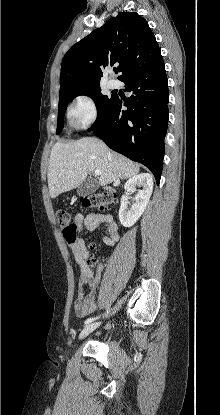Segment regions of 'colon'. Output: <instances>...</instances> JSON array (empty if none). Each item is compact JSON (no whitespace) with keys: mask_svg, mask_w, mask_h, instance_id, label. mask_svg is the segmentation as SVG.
I'll return each instance as SVG.
<instances>
[{"mask_svg":"<svg viewBox=\"0 0 220 415\" xmlns=\"http://www.w3.org/2000/svg\"><path fill=\"white\" fill-rule=\"evenodd\" d=\"M116 203V195L108 191H99L83 199L82 205L85 208L105 210L112 208ZM55 218L64 232H73L75 230L74 220L66 210L59 209L55 212ZM91 248H94L92 245ZM90 264L95 265V261Z\"/></svg>","mask_w":220,"mask_h":415,"instance_id":"5ec220e1","label":"colon"}]
</instances>
